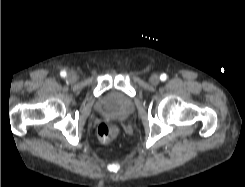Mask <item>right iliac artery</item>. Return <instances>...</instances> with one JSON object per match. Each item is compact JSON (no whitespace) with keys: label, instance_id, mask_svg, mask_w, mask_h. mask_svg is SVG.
I'll return each instance as SVG.
<instances>
[{"label":"right iliac artery","instance_id":"1","mask_svg":"<svg viewBox=\"0 0 245 187\" xmlns=\"http://www.w3.org/2000/svg\"><path fill=\"white\" fill-rule=\"evenodd\" d=\"M60 75H61V77H66L67 73H66V71H61Z\"/></svg>","mask_w":245,"mask_h":187}]
</instances>
